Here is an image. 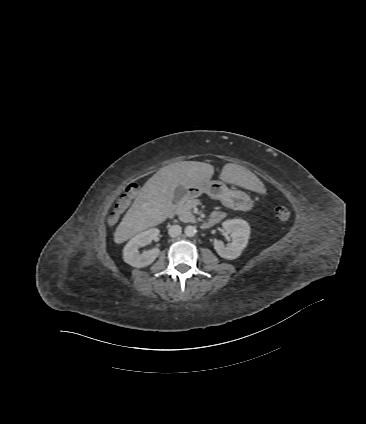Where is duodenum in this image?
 Listing matches in <instances>:
<instances>
[{"label":"duodenum","instance_id":"duodenum-1","mask_svg":"<svg viewBox=\"0 0 366 424\" xmlns=\"http://www.w3.org/2000/svg\"><path fill=\"white\" fill-rule=\"evenodd\" d=\"M216 224V221L215 220H213V219H209L208 221H206V222H204L203 224H202V228L203 229H209V228H211L212 226H214Z\"/></svg>","mask_w":366,"mask_h":424}]
</instances>
